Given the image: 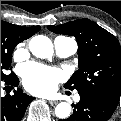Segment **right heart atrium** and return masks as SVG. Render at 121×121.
Masks as SVG:
<instances>
[{
	"instance_id": "d8ad5b80",
	"label": "right heart atrium",
	"mask_w": 121,
	"mask_h": 121,
	"mask_svg": "<svg viewBox=\"0 0 121 121\" xmlns=\"http://www.w3.org/2000/svg\"><path fill=\"white\" fill-rule=\"evenodd\" d=\"M25 54H26V44L25 43L18 44L14 51V59L22 60Z\"/></svg>"
}]
</instances>
